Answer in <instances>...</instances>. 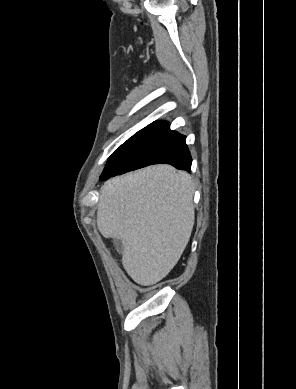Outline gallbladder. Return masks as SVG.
Returning <instances> with one entry per match:
<instances>
[{"label": "gallbladder", "instance_id": "1", "mask_svg": "<svg viewBox=\"0 0 296 389\" xmlns=\"http://www.w3.org/2000/svg\"><path fill=\"white\" fill-rule=\"evenodd\" d=\"M113 244L116 248V250L121 254L123 253V243L120 239L114 238L113 239Z\"/></svg>", "mask_w": 296, "mask_h": 389}]
</instances>
